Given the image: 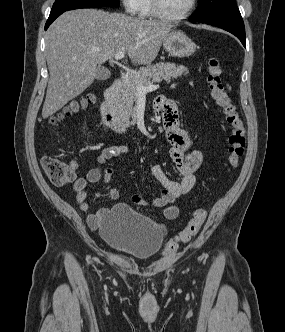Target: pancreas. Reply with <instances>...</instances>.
Here are the masks:
<instances>
[{
	"label": "pancreas",
	"instance_id": "1",
	"mask_svg": "<svg viewBox=\"0 0 285 332\" xmlns=\"http://www.w3.org/2000/svg\"><path fill=\"white\" fill-rule=\"evenodd\" d=\"M188 72V68L183 65L177 66L174 63L161 62L155 65L148 64L137 73L124 77L117 106L125 122L131 125L136 123L134 103L138 97L136 88L138 84L148 86L152 85L153 82H161L162 80L170 82L171 79L181 77L183 74L187 75Z\"/></svg>",
	"mask_w": 285,
	"mask_h": 332
}]
</instances>
